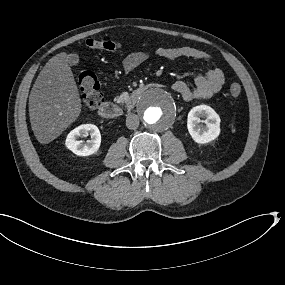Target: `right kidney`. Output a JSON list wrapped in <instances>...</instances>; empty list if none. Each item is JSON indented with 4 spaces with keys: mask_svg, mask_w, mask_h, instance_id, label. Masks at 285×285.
<instances>
[{
    "mask_svg": "<svg viewBox=\"0 0 285 285\" xmlns=\"http://www.w3.org/2000/svg\"><path fill=\"white\" fill-rule=\"evenodd\" d=\"M83 134H90L91 140L88 143L77 140ZM65 146L68 150L80 157L91 156L98 152L101 146V135L99 129L93 124H83L72 130L66 140Z\"/></svg>",
    "mask_w": 285,
    "mask_h": 285,
    "instance_id": "1",
    "label": "right kidney"
}]
</instances>
